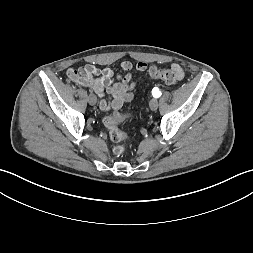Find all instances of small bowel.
I'll list each match as a JSON object with an SVG mask.
<instances>
[{
    "label": "small bowel",
    "mask_w": 253,
    "mask_h": 253,
    "mask_svg": "<svg viewBox=\"0 0 253 253\" xmlns=\"http://www.w3.org/2000/svg\"><path fill=\"white\" fill-rule=\"evenodd\" d=\"M120 67L127 72L123 76L117 75L111 67L99 69L93 63H87L78 69L69 68L67 77L79 85L94 88L100 97V109L108 113L120 109L125 102L133 99L136 82L133 80L130 71L135 68L139 72H144L147 70L148 64L140 61L134 66L132 62L125 60L121 62ZM172 67L181 69L177 64H173ZM105 92L108 93V98H105Z\"/></svg>",
    "instance_id": "obj_1"
}]
</instances>
